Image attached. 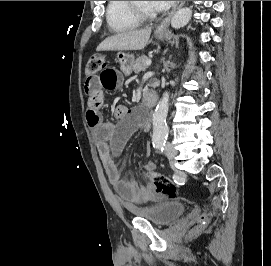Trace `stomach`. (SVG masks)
Wrapping results in <instances>:
<instances>
[{
    "label": "stomach",
    "mask_w": 271,
    "mask_h": 266,
    "mask_svg": "<svg viewBox=\"0 0 271 266\" xmlns=\"http://www.w3.org/2000/svg\"><path fill=\"white\" fill-rule=\"evenodd\" d=\"M165 36V33L155 32V37L159 40H163ZM117 58L120 63L122 72L126 75L130 74L134 64V56L129 53L118 52Z\"/></svg>",
    "instance_id": "1"
}]
</instances>
